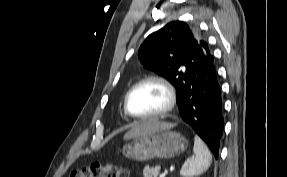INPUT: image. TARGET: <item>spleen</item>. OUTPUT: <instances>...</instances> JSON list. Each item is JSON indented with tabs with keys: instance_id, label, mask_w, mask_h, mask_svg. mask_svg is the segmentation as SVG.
<instances>
[{
	"instance_id": "3e777b00",
	"label": "spleen",
	"mask_w": 287,
	"mask_h": 177,
	"mask_svg": "<svg viewBox=\"0 0 287 177\" xmlns=\"http://www.w3.org/2000/svg\"><path fill=\"white\" fill-rule=\"evenodd\" d=\"M194 157L188 159L182 166L180 174L183 177H194L205 172L211 165L212 157L207 146L200 137H194Z\"/></svg>"
}]
</instances>
